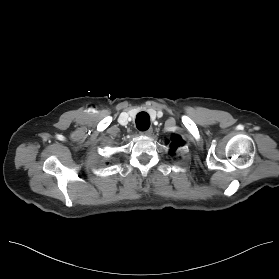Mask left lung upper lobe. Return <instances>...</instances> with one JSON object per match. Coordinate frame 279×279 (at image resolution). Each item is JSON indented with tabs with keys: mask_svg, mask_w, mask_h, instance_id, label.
<instances>
[{
	"mask_svg": "<svg viewBox=\"0 0 279 279\" xmlns=\"http://www.w3.org/2000/svg\"><path fill=\"white\" fill-rule=\"evenodd\" d=\"M184 144V141L182 140V138L178 135H172L171 136V151L170 153H174V151L179 147L182 146Z\"/></svg>",
	"mask_w": 279,
	"mask_h": 279,
	"instance_id": "obj_1",
	"label": "left lung upper lobe"
}]
</instances>
